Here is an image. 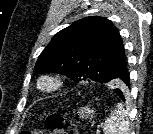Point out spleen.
Here are the masks:
<instances>
[{
    "label": "spleen",
    "instance_id": "3e777b00",
    "mask_svg": "<svg viewBox=\"0 0 153 134\" xmlns=\"http://www.w3.org/2000/svg\"><path fill=\"white\" fill-rule=\"evenodd\" d=\"M129 121L127 118V111L122 104H117L109 118L105 120L103 126L104 134H128Z\"/></svg>",
    "mask_w": 153,
    "mask_h": 134
}]
</instances>
